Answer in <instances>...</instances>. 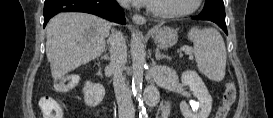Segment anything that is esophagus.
Instances as JSON below:
<instances>
[{
	"label": "esophagus",
	"instance_id": "1",
	"mask_svg": "<svg viewBox=\"0 0 273 118\" xmlns=\"http://www.w3.org/2000/svg\"><path fill=\"white\" fill-rule=\"evenodd\" d=\"M132 20L138 25H144L146 23V19L139 14H134Z\"/></svg>",
	"mask_w": 273,
	"mask_h": 118
}]
</instances>
